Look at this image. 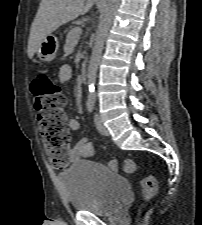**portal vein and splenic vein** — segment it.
I'll list each match as a JSON object with an SVG mask.
<instances>
[{
	"label": "portal vein and splenic vein",
	"instance_id": "1",
	"mask_svg": "<svg viewBox=\"0 0 202 225\" xmlns=\"http://www.w3.org/2000/svg\"><path fill=\"white\" fill-rule=\"evenodd\" d=\"M81 33V27L73 28L66 37V43H72L73 45H76L78 43V40L80 39Z\"/></svg>",
	"mask_w": 202,
	"mask_h": 225
}]
</instances>
